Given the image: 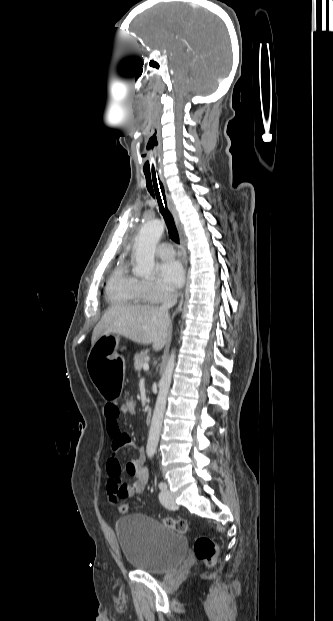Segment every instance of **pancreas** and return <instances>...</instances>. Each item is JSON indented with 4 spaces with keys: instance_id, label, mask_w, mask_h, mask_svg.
<instances>
[{
    "instance_id": "pancreas-1",
    "label": "pancreas",
    "mask_w": 333,
    "mask_h": 621,
    "mask_svg": "<svg viewBox=\"0 0 333 621\" xmlns=\"http://www.w3.org/2000/svg\"><path fill=\"white\" fill-rule=\"evenodd\" d=\"M147 363V352H140L134 356V368L138 372L141 371L143 365Z\"/></svg>"
}]
</instances>
